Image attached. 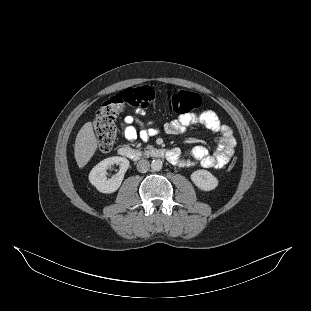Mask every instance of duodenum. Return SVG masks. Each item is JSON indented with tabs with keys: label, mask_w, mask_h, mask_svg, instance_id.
I'll use <instances>...</instances> for the list:
<instances>
[{
	"label": "duodenum",
	"mask_w": 311,
	"mask_h": 311,
	"mask_svg": "<svg viewBox=\"0 0 311 311\" xmlns=\"http://www.w3.org/2000/svg\"><path fill=\"white\" fill-rule=\"evenodd\" d=\"M118 153L132 161H138L143 158H158V159H165L169 162L174 160L173 152L169 149L165 148H146L143 150H136L129 147H121L118 149Z\"/></svg>",
	"instance_id": "410a0bca"
}]
</instances>
